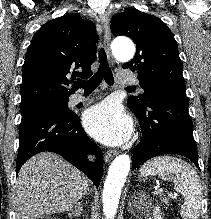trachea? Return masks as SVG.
<instances>
[{
  "instance_id": "1",
  "label": "trachea",
  "mask_w": 211,
  "mask_h": 219,
  "mask_svg": "<svg viewBox=\"0 0 211 219\" xmlns=\"http://www.w3.org/2000/svg\"><path fill=\"white\" fill-rule=\"evenodd\" d=\"M99 62L100 65L98 71L89 80H78L76 82V84L83 88L85 92H92L99 86L103 79L108 85L114 84V77L107 61V55L103 48L99 51ZM126 89L134 90L135 87L129 86Z\"/></svg>"
}]
</instances>
